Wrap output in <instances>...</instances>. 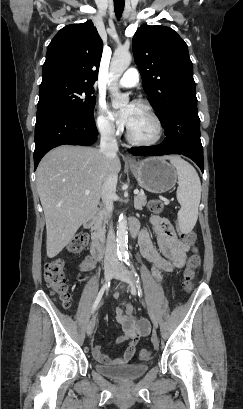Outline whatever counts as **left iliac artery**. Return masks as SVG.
I'll return each mask as SVG.
<instances>
[{"label":"left iliac artery","mask_w":243,"mask_h":409,"mask_svg":"<svg viewBox=\"0 0 243 409\" xmlns=\"http://www.w3.org/2000/svg\"><path fill=\"white\" fill-rule=\"evenodd\" d=\"M125 263L132 268V272L134 273L135 277L137 278V283H139V276H138L137 272L135 271V268H134L132 262L129 259H126Z\"/></svg>","instance_id":"1"}]
</instances>
